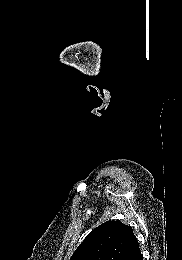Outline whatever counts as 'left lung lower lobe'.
Returning a JSON list of instances; mask_svg holds the SVG:
<instances>
[{"instance_id":"0a47b994","label":"left lung lower lobe","mask_w":182,"mask_h":260,"mask_svg":"<svg viewBox=\"0 0 182 260\" xmlns=\"http://www.w3.org/2000/svg\"><path fill=\"white\" fill-rule=\"evenodd\" d=\"M123 260H143V255L140 252L138 242L131 247L129 252L123 258Z\"/></svg>"}]
</instances>
